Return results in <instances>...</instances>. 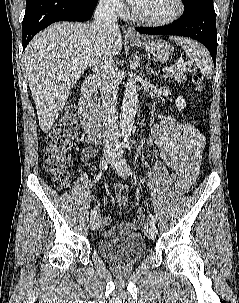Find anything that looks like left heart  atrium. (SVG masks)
I'll list each match as a JSON object with an SVG mask.
<instances>
[{"label":"left heart atrium","mask_w":239,"mask_h":303,"mask_svg":"<svg viewBox=\"0 0 239 303\" xmlns=\"http://www.w3.org/2000/svg\"><path fill=\"white\" fill-rule=\"evenodd\" d=\"M128 1L135 8L141 3L142 0H128Z\"/></svg>","instance_id":"obj_1"}]
</instances>
